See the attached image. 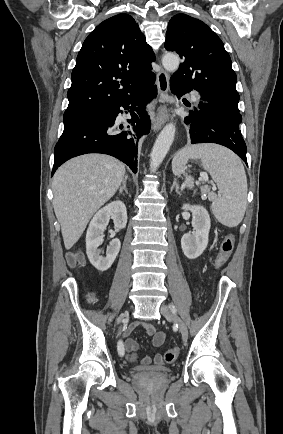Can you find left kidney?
Listing matches in <instances>:
<instances>
[{
    "mask_svg": "<svg viewBox=\"0 0 283 434\" xmlns=\"http://www.w3.org/2000/svg\"><path fill=\"white\" fill-rule=\"evenodd\" d=\"M183 210L192 212L193 232L184 234L181 238V247L188 259L199 257L208 245V236L211 227L208 211L200 205L184 204Z\"/></svg>",
    "mask_w": 283,
    "mask_h": 434,
    "instance_id": "obj_1",
    "label": "left kidney"
}]
</instances>
